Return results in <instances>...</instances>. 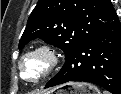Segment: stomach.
Returning <instances> with one entry per match:
<instances>
[{"label": "stomach", "mask_w": 121, "mask_h": 94, "mask_svg": "<svg viewBox=\"0 0 121 94\" xmlns=\"http://www.w3.org/2000/svg\"><path fill=\"white\" fill-rule=\"evenodd\" d=\"M46 94H100L95 86L88 83H67Z\"/></svg>", "instance_id": "0dacf381"}]
</instances>
